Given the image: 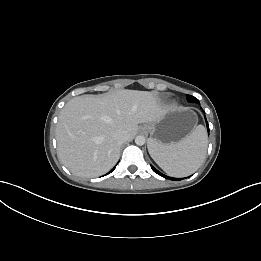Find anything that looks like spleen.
<instances>
[{
  "instance_id": "1",
  "label": "spleen",
  "mask_w": 261,
  "mask_h": 261,
  "mask_svg": "<svg viewBox=\"0 0 261 261\" xmlns=\"http://www.w3.org/2000/svg\"><path fill=\"white\" fill-rule=\"evenodd\" d=\"M207 149V136L203 125L177 143L162 145L149 140L148 150L153 160L168 175L185 177L195 172L203 162Z\"/></svg>"
}]
</instances>
